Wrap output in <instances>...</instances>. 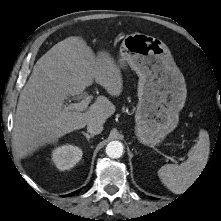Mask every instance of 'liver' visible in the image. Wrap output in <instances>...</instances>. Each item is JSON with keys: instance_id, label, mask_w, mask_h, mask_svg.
I'll list each match as a JSON object with an SVG mask.
<instances>
[{"instance_id": "liver-1", "label": "liver", "mask_w": 221, "mask_h": 221, "mask_svg": "<svg viewBox=\"0 0 221 221\" xmlns=\"http://www.w3.org/2000/svg\"><path fill=\"white\" fill-rule=\"evenodd\" d=\"M94 80L111 96L121 94L122 74L108 52L95 56L80 36L68 37L46 52L19 96L13 128L18 154L27 156L92 120L104 123L112 116L114 104L101 95L83 113L64 106L68 96L83 94Z\"/></svg>"}]
</instances>
